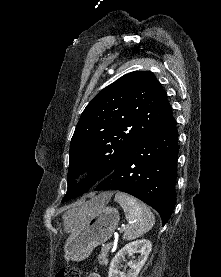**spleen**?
Wrapping results in <instances>:
<instances>
[{
	"instance_id": "obj_1",
	"label": "spleen",
	"mask_w": 221,
	"mask_h": 277,
	"mask_svg": "<svg viewBox=\"0 0 221 277\" xmlns=\"http://www.w3.org/2000/svg\"><path fill=\"white\" fill-rule=\"evenodd\" d=\"M115 201L123 208L129 221L124 229V240L136 239L152 229L155 217L144 203L123 192H117Z\"/></svg>"
}]
</instances>
